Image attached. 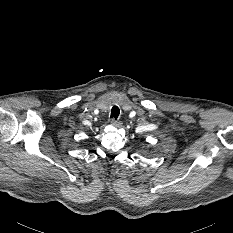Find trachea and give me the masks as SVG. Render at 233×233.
<instances>
[{
	"mask_svg": "<svg viewBox=\"0 0 233 233\" xmlns=\"http://www.w3.org/2000/svg\"><path fill=\"white\" fill-rule=\"evenodd\" d=\"M119 114H120L119 108L117 106H113L111 109V116L110 117L116 120L118 118Z\"/></svg>",
	"mask_w": 233,
	"mask_h": 233,
	"instance_id": "3493384b",
	"label": "trachea"
}]
</instances>
